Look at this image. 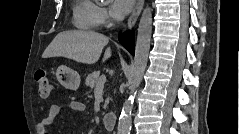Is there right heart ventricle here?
<instances>
[{"mask_svg":"<svg viewBox=\"0 0 239 134\" xmlns=\"http://www.w3.org/2000/svg\"><path fill=\"white\" fill-rule=\"evenodd\" d=\"M97 5L91 0H77L73 6V24L82 30H91L97 26Z\"/></svg>","mask_w":239,"mask_h":134,"instance_id":"1","label":"right heart ventricle"}]
</instances>
